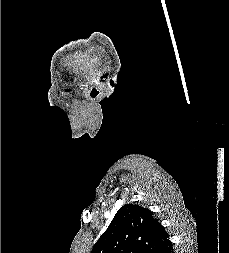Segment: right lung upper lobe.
<instances>
[{
  "mask_svg": "<svg viewBox=\"0 0 229 253\" xmlns=\"http://www.w3.org/2000/svg\"><path fill=\"white\" fill-rule=\"evenodd\" d=\"M170 242L153 212L126 204L117 211L91 253H160Z\"/></svg>",
  "mask_w": 229,
  "mask_h": 253,
  "instance_id": "obj_1",
  "label": "right lung upper lobe"
}]
</instances>
